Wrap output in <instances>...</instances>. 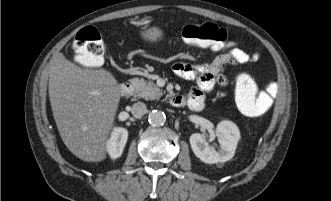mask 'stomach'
I'll list each match as a JSON object with an SVG mask.
<instances>
[{
	"label": "stomach",
	"mask_w": 331,
	"mask_h": 201,
	"mask_svg": "<svg viewBox=\"0 0 331 201\" xmlns=\"http://www.w3.org/2000/svg\"><path fill=\"white\" fill-rule=\"evenodd\" d=\"M141 37L150 42H156L163 38V32L156 26L144 27L140 32Z\"/></svg>",
	"instance_id": "0dacf381"
}]
</instances>
